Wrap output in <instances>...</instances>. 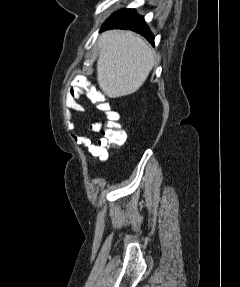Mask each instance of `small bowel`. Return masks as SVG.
I'll use <instances>...</instances> for the list:
<instances>
[{"label":"small bowel","mask_w":240,"mask_h":287,"mask_svg":"<svg viewBox=\"0 0 240 287\" xmlns=\"http://www.w3.org/2000/svg\"><path fill=\"white\" fill-rule=\"evenodd\" d=\"M85 96V92L81 86L73 84L68 90L64 98L66 108L69 110L82 113L84 112V106L80 103V99ZM91 98V97H90ZM102 129V122L98 121L92 123L88 131L91 133H98ZM75 141L82 143L89 148V150L97 156L101 161H105L108 158V151L106 149L107 142L104 138L98 139L96 143L92 142L89 138L75 137Z\"/></svg>","instance_id":"small-bowel-1"}]
</instances>
